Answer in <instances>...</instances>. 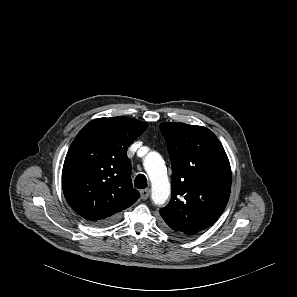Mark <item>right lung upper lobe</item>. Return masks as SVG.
Listing matches in <instances>:
<instances>
[{"label":"right lung upper lobe","instance_id":"1","mask_svg":"<svg viewBox=\"0 0 297 297\" xmlns=\"http://www.w3.org/2000/svg\"><path fill=\"white\" fill-rule=\"evenodd\" d=\"M147 127L128 117L99 118L78 133L64 161L62 187L80 216L98 223L138 200L127 148Z\"/></svg>","mask_w":297,"mask_h":297}]
</instances>
